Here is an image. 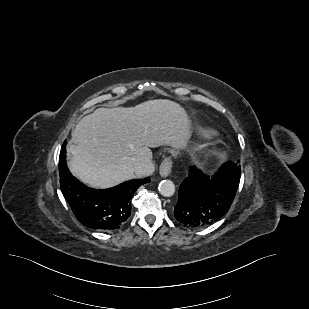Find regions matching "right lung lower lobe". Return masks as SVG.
<instances>
[{
  "label": "right lung lower lobe",
  "mask_w": 309,
  "mask_h": 309,
  "mask_svg": "<svg viewBox=\"0 0 309 309\" xmlns=\"http://www.w3.org/2000/svg\"><path fill=\"white\" fill-rule=\"evenodd\" d=\"M66 141L59 159L60 186L77 219L86 227L98 230L120 228L131 214V198L149 178L124 182L114 188L95 190L80 183L69 172L65 154Z\"/></svg>",
  "instance_id": "1"
}]
</instances>
